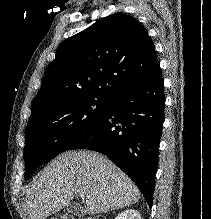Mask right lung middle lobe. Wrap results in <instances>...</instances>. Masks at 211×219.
<instances>
[{
	"label": "right lung middle lobe",
	"mask_w": 211,
	"mask_h": 219,
	"mask_svg": "<svg viewBox=\"0 0 211 219\" xmlns=\"http://www.w3.org/2000/svg\"><path fill=\"white\" fill-rule=\"evenodd\" d=\"M111 100L89 97L67 103L55 111L29 120L25 134V179L93 128Z\"/></svg>",
	"instance_id": "right-lung-middle-lobe-1"
}]
</instances>
